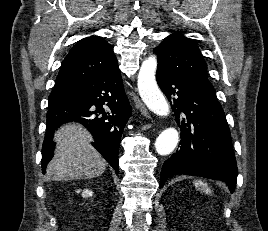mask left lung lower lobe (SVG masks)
Masks as SVG:
<instances>
[{
  "instance_id": "obj_1",
  "label": "left lung lower lobe",
  "mask_w": 268,
  "mask_h": 231,
  "mask_svg": "<svg viewBox=\"0 0 268 231\" xmlns=\"http://www.w3.org/2000/svg\"><path fill=\"white\" fill-rule=\"evenodd\" d=\"M156 80L172 105L182 138L180 149L163 163L159 187L169 177L185 174L222 180L233 192L236 160L225 114L216 96L165 68H157Z\"/></svg>"
}]
</instances>
